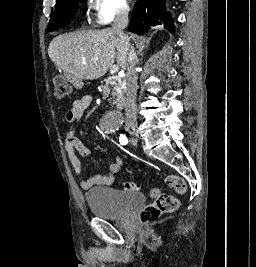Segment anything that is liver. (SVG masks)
<instances>
[{
  "label": "liver",
  "mask_w": 256,
  "mask_h": 267,
  "mask_svg": "<svg viewBox=\"0 0 256 267\" xmlns=\"http://www.w3.org/2000/svg\"><path fill=\"white\" fill-rule=\"evenodd\" d=\"M129 46L111 28L77 30L53 38L48 54L52 62L67 74L69 82L97 80L114 66L115 60L122 70H126Z\"/></svg>",
  "instance_id": "1"
}]
</instances>
